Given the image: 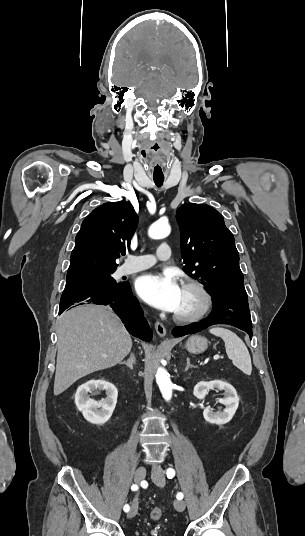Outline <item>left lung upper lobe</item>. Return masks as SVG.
<instances>
[{
    "mask_svg": "<svg viewBox=\"0 0 305 536\" xmlns=\"http://www.w3.org/2000/svg\"><path fill=\"white\" fill-rule=\"evenodd\" d=\"M183 270L213 296L246 294L239 253L223 216L206 204H184L176 212Z\"/></svg>",
    "mask_w": 305,
    "mask_h": 536,
    "instance_id": "left-lung-upper-lobe-1",
    "label": "left lung upper lobe"
}]
</instances>
